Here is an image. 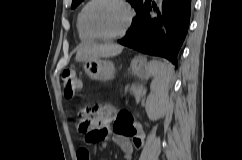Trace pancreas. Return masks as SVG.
<instances>
[{
	"instance_id": "obj_1",
	"label": "pancreas",
	"mask_w": 242,
	"mask_h": 160,
	"mask_svg": "<svg viewBox=\"0 0 242 160\" xmlns=\"http://www.w3.org/2000/svg\"><path fill=\"white\" fill-rule=\"evenodd\" d=\"M128 91V87L125 88V92ZM130 92L133 93V95L135 96L136 100H140V98L143 95V89L137 85H132L130 88Z\"/></svg>"
}]
</instances>
